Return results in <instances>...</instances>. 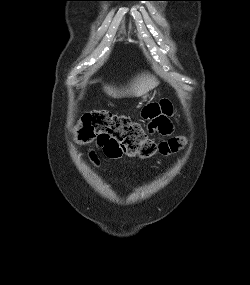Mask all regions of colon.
I'll return each instance as SVG.
<instances>
[{
	"instance_id": "obj_1",
	"label": "colon",
	"mask_w": 250,
	"mask_h": 285,
	"mask_svg": "<svg viewBox=\"0 0 250 285\" xmlns=\"http://www.w3.org/2000/svg\"><path fill=\"white\" fill-rule=\"evenodd\" d=\"M80 143L95 141L106 156L121 155L149 158L156 154L171 155L184 145L181 136L154 141L145 129L127 116L108 110H93L84 114L75 130Z\"/></svg>"
}]
</instances>
